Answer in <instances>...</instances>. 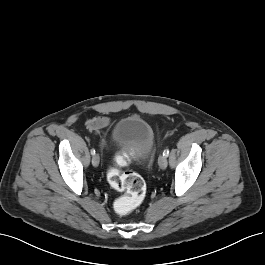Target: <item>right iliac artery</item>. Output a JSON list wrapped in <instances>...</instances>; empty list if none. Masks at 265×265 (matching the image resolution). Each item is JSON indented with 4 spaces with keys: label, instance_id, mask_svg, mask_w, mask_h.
Wrapping results in <instances>:
<instances>
[{
    "label": "right iliac artery",
    "instance_id": "82829eb1",
    "mask_svg": "<svg viewBox=\"0 0 265 265\" xmlns=\"http://www.w3.org/2000/svg\"><path fill=\"white\" fill-rule=\"evenodd\" d=\"M91 154L94 155L95 154V150L91 149Z\"/></svg>",
    "mask_w": 265,
    "mask_h": 265
}]
</instances>
